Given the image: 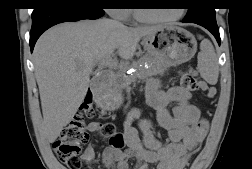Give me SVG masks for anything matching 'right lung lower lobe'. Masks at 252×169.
Returning <instances> with one entry per match:
<instances>
[{
    "mask_svg": "<svg viewBox=\"0 0 252 169\" xmlns=\"http://www.w3.org/2000/svg\"><path fill=\"white\" fill-rule=\"evenodd\" d=\"M104 14L102 9L79 3L77 0H47L44 5L34 8L32 13L31 51L39 36L48 28L67 21L98 19Z\"/></svg>",
    "mask_w": 252,
    "mask_h": 169,
    "instance_id": "obj_1",
    "label": "right lung lower lobe"
}]
</instances>
